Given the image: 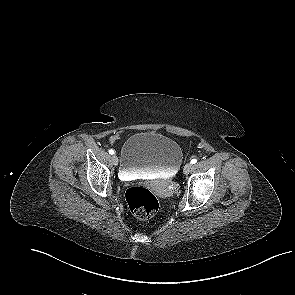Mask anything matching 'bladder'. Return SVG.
<instances>
[{
    "mask_svg": "<svg viewBox=\"0 0 295 295\" xmlns=\"http://www.w3.org/2000/svg\"><path fill=\"white\" fill-rule=\"evenodd\" d=\"M183 162L179 144L156 132H140L129 137L120 152L123 177L161 173L173 176Z\"/></svg>",
    "mask_w": 295,
    "mask_h": 295,
    "instance_id": "bladder-1",
    "label": "bladder"
}]
</instances>
